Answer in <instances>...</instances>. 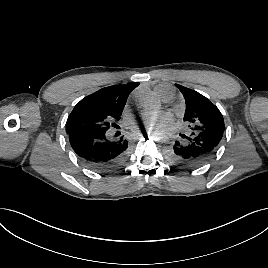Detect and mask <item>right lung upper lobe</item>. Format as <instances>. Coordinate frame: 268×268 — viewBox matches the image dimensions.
<instances>
[{
	"label": "right lung upper lobe",
	"mask_w": 268,
	"mask_h": 268,
	"mask_svg": "<svg viewBox=\"0 0 268 268\" xmlns=\"http://www.w3.org/2000/svg\"><path fill=\"white\" fill-rule=\"evenodd\" d=\"M138 85V82H132L126 85L105 87L83 98L79 104H97L105 108L123 110L128 95Z\"/></svg>",
	"instance_id": "cb5924a9"
}]
</instances>
